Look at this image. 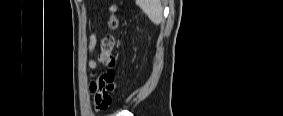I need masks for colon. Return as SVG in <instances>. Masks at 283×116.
I'll return each mask as SVG.
<instances>
[{
    "label": "colon",
    "instance_id": "colon-1",
    "mask_svg": "<svg viewBox=\"0 0 283 116\" xmlns=\"http://www.w3.org/2000/svg\"><path fill=\"white\" fill-rule=\"evenodd\" d=\"M116 7L112 5L110 7V17L108 19V26L111 29H115L118 25V20L116 17ZM116 45V40L115 37L111 34H108L103 37L101 41V53L99 60L100 62L109 68L107 72H105L101 76V81L107 82L110 84V89L112 90L115 87V80L117 78V73L115 71V66H116V59L115 56L113 55V51ZM112 103V99L108 98L107 100L100 101L96 103V109L97 110H106Z\"/></svg>",
    "mask_w": 283,
    "mask_h": 116
}]
</instances>
